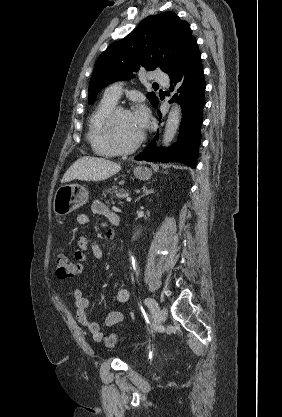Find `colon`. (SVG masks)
I'll use <instances>...</instances> for the list:
<instances>
[{
  "label": "colon",
  "instance_id": "5ec220e1",
  "mask_svg": "<svg viewBox=\"0 0 282 417\" xmlns=\"http://www.w3.org/2000/svg\"><path fill=\"white\" fill-rule=\"evenodd\" d=\"M56 272L59 278L65 279L72 277L76 272L81 269V266H74L73 261L64 253L58 254L56 260ZM105 345L110 347L112 344H116L118 338L114 331H111L105 338Z\"/></svg>",
  "mask_w": 282,
  "mask_h": 417
}]
</instances>
